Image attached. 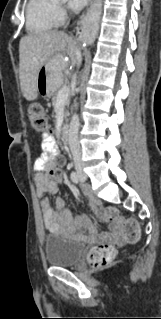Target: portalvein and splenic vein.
Wrapping results in <instances>:
<instances>
[{
    "label": "portal vein and splenic vein",
    "instance_id": "18ae733b",
    "mask_svg": "<svg viewBox=\"0 0 161 319\" xmlns=\"http://www.w3.org/2000/svg\"><path fill=\"white\" fill-rule=\"evenodd\" d=\"M69 95V87L64 86L62 89L59 90L57 98L58 99H66Z\"/></svg>",
    "mask_w": 161,
    "mask_h": 319
}]
</instances>
